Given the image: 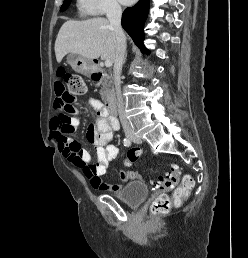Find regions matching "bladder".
Here are the masks:
<instances>
[{
  "label": "bladder",
  "instance_id": "obj_1",
  "mask_svg": "<svg viewBox=\"0 0 248 258\" xmlns=\"http://www.w3.org/2000/svg\"><path fill=\"white\" fill-rule=\"evenodd\" d=\"M149 190L143 182H132L126 184L115 196L129 207H138L148 196Z\"/></svg>",
  "mask_w": 248,
  "mask_h": 258
}]
</instances>
